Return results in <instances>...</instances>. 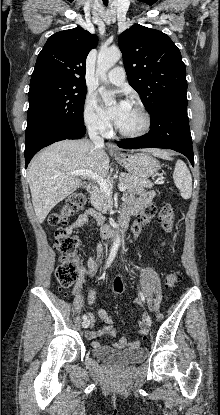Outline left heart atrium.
Masks as SVG:
<instances>
[{
	"label": "left heart atrium",
	"mask_w": 220,
	"mask_h": 415,
	"mask_svg": "<svg viewBox=\"0 0 220 415\" xmlns=\"http://www.w3.org/2000/svg\"><path fill=\"white\" fill-rule=\"evenodd\" d=\"M129 103L124 99L118 100L114 105L102 106V115L105 119L112 121L117 126L125 117L128 111Z\"/></svg>",
	"instance_id": "obj_1"
}]
</instances>
